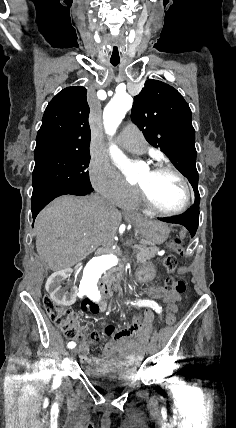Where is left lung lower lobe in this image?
Listing matches in <instances>:
<instances>
[{
  "mask_svg": "<svg viewBox=\"0 0 236 428\" xmlns=\"http://www.w3.org/2000/svg\"><path fill=\"white\" fill-rule=\"evenodd\" d=\"M195 202L184 214L169 217V218H158L161 221L168 223H176L185 226L193 237L196 233L198 223H199V192L195 193Z\"/></svg>",
  "mask_w": 236,
  "mask_h": 428,
  "instance_id": "0a47b994",
  "label": "left lung lower lobe"
}]
</instances>
